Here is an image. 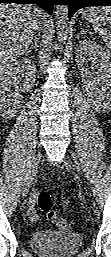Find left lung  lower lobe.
Instances as JSON below:
<instances>
[{"mask_svg":"<svg viewBox=\"0 0 111 257\" xmlns=\"http://www.w3.org/2000/svg\"><path fill=\"white\" fill-rule=\"evenodd\" d=\"M68 14L71 17L75 11L85 6H111V0H67Z\"/></svg>","mask_w":111,"mask_h":257,"instance_id":"obj_1","label":"left lung lower lobe"}]
</instances>
